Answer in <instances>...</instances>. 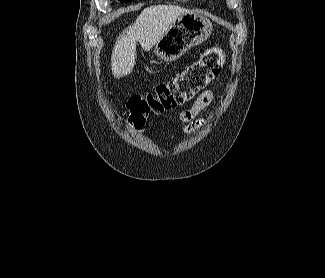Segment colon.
Instances as JSON below:
<instances>
[{
  "mask_svg": "<svg viewBox=\"0 0 325 278\" xmlns=\"http://www.w3.org/2000/svg\"><path fill=\"white\" fill-rule=\"evenodd\" d=\"M225 63L222 50L213 47L173 79L158 84L153 90L134 96L127 102L129 123L142 128L152 114L171 110L191 100L219 75Z\"/></svg>",
  "mask_w": 325,
  "mask_h": 278,
  "instance_id": "obj_1",
  "label": "colon"
}]
</instances>
